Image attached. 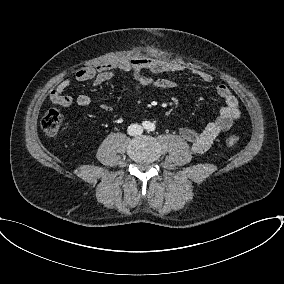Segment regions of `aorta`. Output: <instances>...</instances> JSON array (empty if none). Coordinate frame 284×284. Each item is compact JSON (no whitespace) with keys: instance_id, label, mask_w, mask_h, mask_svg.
<instances>
[{"instance_id":"obj_1","label":"aorta","mask_w":284,"mask_h":284,"mask_svg":"<svg viewBox=\"0 0 284 284\" xmlns=\"http://www.w3.org/2000/svg\"><path fill=\"white\" fill-rule=\"evenodd\" d=\"M154 127V124L150 123V122H147L146 125H145V128L148 129V130H152Z\"/></svg>"}]
</instances>
